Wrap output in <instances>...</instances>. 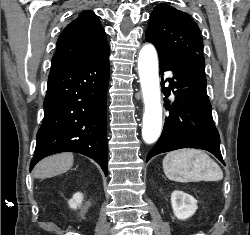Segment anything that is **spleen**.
Segmentation results:
<instances>
[{
  "label": "spleen",
  "instance_id": "3e777b00",
  "mask_svg": "<svg viewBox=\"0 0 250 235\" xmlns=\"http://www.w3.org/2000/svg\"><path fill=\"white\" fill-rule=\"evenodd\" d=\"M165 175L176 182L220 181L223 172L206 153L181 149L168 153L163 159Z\"/></svg>",
  "mask_w": 250,
  "mask_h": 235
}]
</instances>
